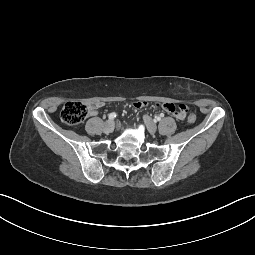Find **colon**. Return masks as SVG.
Here are the masks:
<instances>
[{
  "label": "colon",
  "instance_id": "colon-1",
  "mask_svg": "<svg viewBox=\"0 0 255 255\" xmlns=\"http://www.w3.org/2000/svg\"><path fill=\"white\" fill-rule=\"evenodd\" d=\"M91 110V105L82 101H69L67 102L61 110V119L67 125H77L85 120L89 115ZM189 123H194L196 121V116L194 113H190L187 116Z\"/></svg>",
  "mask_w": 255,
  "mask_h": 255
}]
</instances>
